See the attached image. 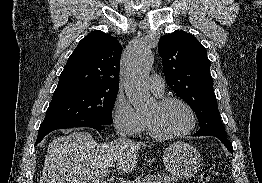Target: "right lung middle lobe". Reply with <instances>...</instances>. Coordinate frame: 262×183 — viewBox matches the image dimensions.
I'll use <instances>...</instances> for the list:
<instances>
[{"label":"right lung middle lobe","instance_id":"obj_1","mask_svg":"<svg viewBox=\"0 0 262 183\" xmlns=\"http://www.w3.org/2000/svg\"><path fill=\"white\" fill-rule=\"evenodd\" d=\"M118 91L74 89L53 94L42 124L54 122H88L110 125Z\"/></svg>","mask_w":262,"mask_h":183}]
</instances>
